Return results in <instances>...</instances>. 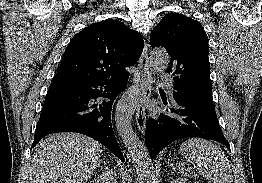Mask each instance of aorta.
I'll return each instance as SVG.
<instances>
[{
  "label": "aorta",
  "mask_w": 262,
  "mask_h": 183,
  "mask_svg": "<svg viewBox=\"0 0 262 183\" xmlns=\"http://www.w3.org/2000/svg\"><path fill=\"white\" fill-rule=\"evenodd\" d=\"M168 64L169 55L166 50L154 49L151 51L149 63L151 74L165 69ZM145 94L144 86L138 84L132 86L118 101L115 114L118 133L130 152L136 171L141 178H146L152 173L153 165L146 148L133 131L131 120L138 103L145 97Z\"/></svg>",
  "instance_id": "aorta-1"
}]
</instances>
